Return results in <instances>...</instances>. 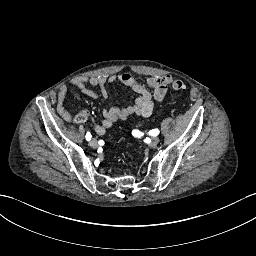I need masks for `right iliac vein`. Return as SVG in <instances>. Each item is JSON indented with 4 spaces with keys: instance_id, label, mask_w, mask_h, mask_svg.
<instances>
[{
    "instance_id": "right-iliac-vein-1",
    "label": "right iliac vein",
    "mask_w": 256,
    "mask_h": 256,
    "mask_svg": "<svg viewBox=\"0 0 256 256\" xmlns=\"http://www.w3.org/2000/svg\"><path fill=\"white\" fill-rule=\"evenodd\" d=\"M90 146L92 148H97L98 144H97V140L95 138H93L92 140H90L89 142Z\"/></svg>"
}]
</instances>
